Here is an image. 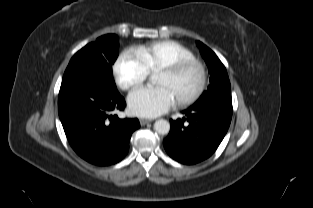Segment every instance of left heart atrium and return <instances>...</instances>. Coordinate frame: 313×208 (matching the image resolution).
<instances>
[{"label": "left heart atrium", "mask_w": 313, "mask_h": 208, "mask_svg": "<svg viewBox=\"0 0 313 208\" xmlns=\"http://www.w3.org/2000/svg\"><path fill=\"white\" fill-rule=\"evenodd\" d=\"M174 104V97L165 86L141 87L128 96L130 111L142 117H156Z\"/></svg>", "instance_id": "obj_1"}]
</instances>
